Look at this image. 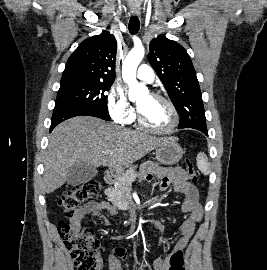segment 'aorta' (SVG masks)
<instances>
[{
    "instance_id": "obj_1",
    "label": "aorta",
    "mask_w": 267,
    "mask_h": 270,
    "mask_svg": "<svg viewBox=\"0 0 267 270\" xmlns=\"http://www.w3.org/2000/svg\"><path fill=\"white\" fill-rule=\"evenodd\" d=\"M144 54L145 50L142 46L134 47L126 56L122 66V78L129 87L130 100H135L148 93L147 87L136 79V70Z\"/></svg>"
}]
</instances>
